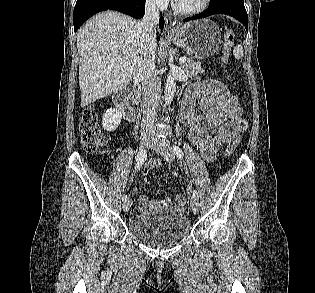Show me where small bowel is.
I'll list each match as a JSON object with an SVG mask.
<instances>
[{
	"label": "small bowel",
	"mask_w": 315,
	"mask_h": 293,
	"mask_svg": "<svg viewBox=\"0 0 315 293\" xmlns=\"http://www.w3.org/2000/svg\"><path fill=\"white\" fill-rule=\"evenodd\" d=\"M198 98H201V114L195 112ZM181 115L183 124L189 129V140L198 146L202 156L208 161L215 157L222 143H233L236 146L247 129L237 97L232 96L223 83L214 79L197 82L189 88ZM160 165L159 159H151L146 170ZM139 202L141 206L136 209L137 213L172 205L169 198L154 200L142 196Z\"/></svg>",
	"instance_id": "c3829d8e"
}]
</instances>
